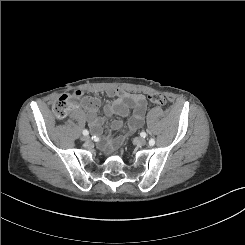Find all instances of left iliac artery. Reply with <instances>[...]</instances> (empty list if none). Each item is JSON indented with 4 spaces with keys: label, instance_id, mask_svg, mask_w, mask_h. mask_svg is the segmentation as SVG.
Masks as SVG:
<instances>
[{
    "label": "left iliac artery",
    "instance_id": "left-iliac-artery-1",
    "mask_svg": "<svg viewBox=\"0 0 245 245\" xmlns=\"http://www.w3.org/2000/svg\"><path fill=\"white\" fill-rule=\"evenodd\" d=\"M149 144H150V146H153V145L155 144V140H154L153 138H151V139L149 140Z\"/></svg>",
    "mask_w": 245,
    "mask_h": 245
}]
</instances>
